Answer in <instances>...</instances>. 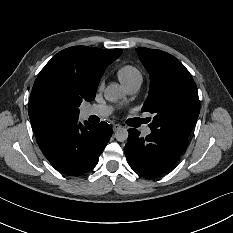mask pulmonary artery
I'll list each match as a JSON object with an SVG mask.
<instances>
[{"label":"pulmonary artery","mask_w":233,"mask_h":233,"mask_svg":"<svg viewBox=\"0 0 233 233\" xmlns=\"http://www.w3.org/2000/svg\"><path fill=\"white\" fill-rule=\"evenodd\" d=\"M139 87H140L139 85L125 86V89L129 94H135L138 91ZM111 112H112V107L110 106H94V107H90L87 110L86 114L87 116L95 115L98 117H107L111 114ZM142 132L145 136H148L152 133V130L151 128L145 126L142 129Z\"/></svg>","instance_id":"pulmonary-artery-1"}]
</instances>
